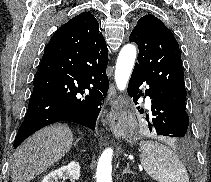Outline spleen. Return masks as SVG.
Returning a JSON list of instances; mask_svg holds the SVG:
<instances>
[{"label":"spleen","mask_w":211,"mask_h":182,"mask_svg":"<svg viewBox=\"0 0 211 182\" xmlns=\"http://www.w3.org/2000/svg\"><path fill=\"white\" fill-rule=\"evenodd\" d=\"M140 161L145 172L157 182H189L186 168L178 155L154 141L140 143Z\"/></svg>","instance_id":"3e777b00"}]
</instances>
